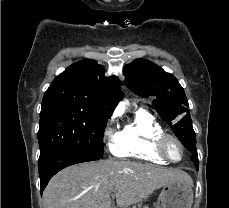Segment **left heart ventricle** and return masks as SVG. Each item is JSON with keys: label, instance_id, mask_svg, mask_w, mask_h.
<instances>
[{"label": "left heart ventricle", "instance_id": "left-heart-ventricle-1", "mask_svg": "<svg viewBox=\"0 0 229 208\" xmlns=\"http://www.w3.org/2000/svg\"><path fill=\"white\" fill-rule=\"evenodd\" d=\"M170 148L173 149L172 155L175 159H179L182 155L181 147L174 141L170 143Z\"/></svg>", "mask_w": 229, "mask_h": 208}]
</instances>
